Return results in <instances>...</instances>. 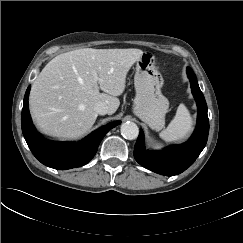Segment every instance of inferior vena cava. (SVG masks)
I'll return each mask as SVG.
<instances>
[{
    "instance_id": "1",
    "label": "inferior vena cava",
    "mask_w": 243,
    "mask_h": 243,
    "mask_svg": "<svg viewBox=\"0 0 243 243\" xmlns=\"http://www.w3.org/2000/svg\"><path fill=\"white\" fill-rule=\"evenodd\" d=\"M94 111L99 114V115H105L108 113V107L105 103L103 102H98L94 106Z\"/></svg>"
}]
</instances>
